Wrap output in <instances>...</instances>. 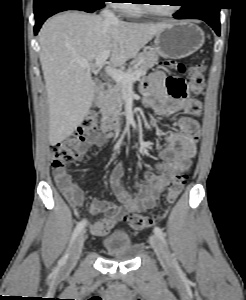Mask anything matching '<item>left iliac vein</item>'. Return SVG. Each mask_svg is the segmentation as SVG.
Instances as JSON below:
<instances>
[{
	"mask_svg": "<svg viewBox=\"0 0 246 300\" xmlns=\"http://www.w3.org/2000/svg\"><path fill=\"white\" fill-rule=\"evenodd\" d=\"M149 241L160 263L164 267L170 268L172 266V263L158 236L152 234L149 238Z\"/></svg>",
	"mask_w": 246,
	"mask_h": 300,
	"instance_id": "obj_1",
	"label": "left iliac vein"
}]
</instances>
